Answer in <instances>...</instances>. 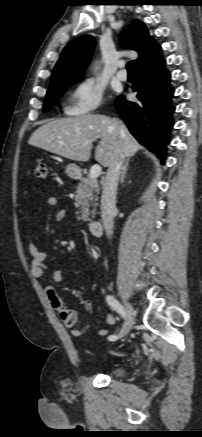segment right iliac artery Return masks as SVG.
I'll return each mask as SVG.
<instances>
[{
    "label": "right iliac artery",
    "mask_w": 202,
    "mask_h": 437,
    "mask_svg": "<svg viewBox=\"0 0 202 437\" xmlns=\"http://www.w3.org/2000/svg\"><path fill=\"white\" fill-rule=\"evenodd\" d=\"M106 301L111 306V308H113L115 311H117L122 316V318H126V312L124 311L122 305L113 296L108 295L106 297ZM108 339L110 341H115L118 339V336L117 335H110L108 337Z\"/></svg>",
    "instance_id": "1"
}]
</instances>
